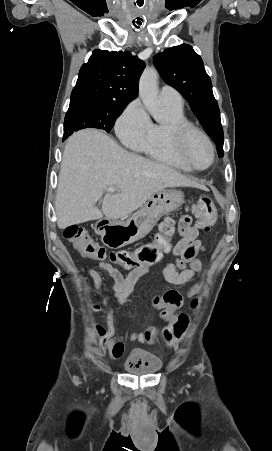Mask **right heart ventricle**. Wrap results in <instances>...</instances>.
<instances>
[{"label": "right heart ventricle", "instance_id": "right-heart-ventricle-1", "mask_svg": "<svg viewBox=\"0 0 272 451\" xmlns=\"http://www.w3.org/2000/svg\"><path fill=\"white\" fill-rule=\"evenodd\" d=\"M161 102L169 113V121L167 123L152 124L146 139L133 146L153 159L179 166L173 143L167 139L166 134L170 121H185V119L182 110H177L162 100Z\"/></svg>", "mask_w": 272, "mask_h": 451}]
</instances>
